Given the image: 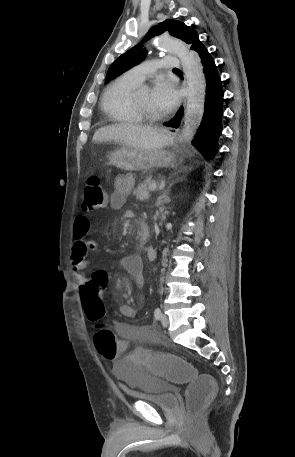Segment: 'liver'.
Wrapping results in <instances>:
<instances>
[{
	"mask_svg": "<svg viewBox=\"0 0 295 457\" xmlns=\"http://www.w3.org/2000/svg\"><path fill=\"white\" fill-rule=\"evenodd\" d=\"M168 131L131 123L109 125L98 129L93 142H115L141 151L160 149L168 144Z\"/></svg>",
	"mask_w": 295,
	"mask_h": 457,
	"instance_id": "1",
	"label": "liver"
}]
</instances>
